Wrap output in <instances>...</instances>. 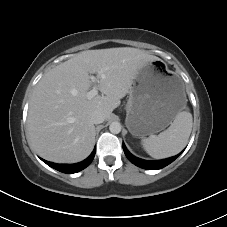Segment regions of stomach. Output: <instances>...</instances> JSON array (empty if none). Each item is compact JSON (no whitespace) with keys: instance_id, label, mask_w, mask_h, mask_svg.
Listing matches in <instances>:
<instances>
[{"instance_id":"0dacf381","label":"stomach","mask_w":227,"mask_h":227,"mask_svg":"<svg viewBox=\"0 0 227 227\" xmlns=\"http://www.w3.org/2000/svg\"><path fill=\"white\" fill-rule=\"evenodd\" d=\"M162 60L145 63L138 69L126 105V126L134 136L153 135L172 123L185 107L181 80L170 75Z\"/></svg>"}]
</instances>
